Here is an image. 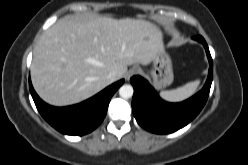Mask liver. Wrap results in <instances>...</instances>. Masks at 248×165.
Here are the masks:
<instances>
[{
	"label": "liver",
	"instance_id": "1",
	"mask_svg": "<svg viewBox=\"0 0 248 165\" xmlns=\"http://www.w3.org/2000/svg\"><path fill=\"white\" fill-rule=\"evenodd\" d=\"M163 49L162 31L141 19L63 18L39 39L31 65L37 94L48 104L79 103L110 85L107 75L127 66L148 65Z\"/></svg>",
	"mask_w": 248,
	"mask_h": 165
}]
</instances>
